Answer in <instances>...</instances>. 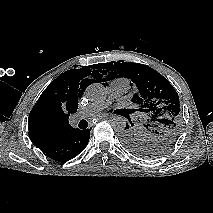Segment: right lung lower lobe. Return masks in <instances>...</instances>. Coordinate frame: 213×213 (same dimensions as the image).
Here are the masks:
<instances>
[{
  "label": "right lung lower lobe",
  "mask_w": 213,
  "mask_h": 213,
  "mask_svg": "<svg viewBox=\"0 0 213 213\" xmlns=\"http://www.w3.org/2000/svg\"><path fill=\"white\" fill-rule=\"evenodd\" d=\"M90 130L75 129L66 137L53 141L40 140L35 142L34 145L48 158L65 162L76 157L85 149L90 138Z\"/></svg>",
  "instance_id": "right-lung-lower-lobe-1"
}]
</instances>
